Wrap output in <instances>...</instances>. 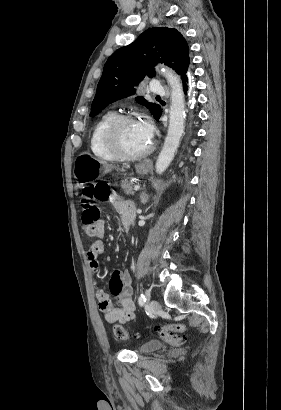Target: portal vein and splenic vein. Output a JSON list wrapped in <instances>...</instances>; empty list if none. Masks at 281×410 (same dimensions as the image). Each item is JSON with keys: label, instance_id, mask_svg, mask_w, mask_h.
<instances>
[{"label": "portal vein and splenic vein", "instance_id": "obj_1", "mask_svg": "<svg viewBox=\"0 0 281 410\" xmlns=\"http://www.w3.org/2000/svg\"><path fill=\"white\" fill-rule=\"evenodd\" d=\"M139 189H140V185L137 184V185L134 186L135 191H138Z\"/></svg>", "mask_w": 281, "mask_h": 410}]
</instances>
